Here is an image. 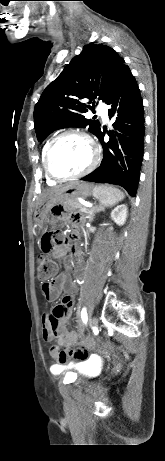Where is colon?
<instances>
[{"label": "colon", "mask_w": 165, "mask_h": 461, "mask_svg": "<svg viewBox=\"0 0 165 461\" xmlns=\"http://www.w3.org/2000/svg\"><path fill=\"white\" fill-rule=\"evenodd\" d=\"M63 242V236L59 231L50 230L46 231L40 241L41 250L43 254L49 253L54 247L60 245ZM38 277L41 280H47L56 274L55 264L41 255L37 260ZM55 315H59L57 310L53 311ZM77 345L76 340H56L55 346L59 348L60 352H67L70 348H75ZM90 349L86 347L76 348L75 350H69L68 355H71L76 360H87L89 358Z\"/></svg>", "instance_id": "5ec220e1"}]
</instances>
